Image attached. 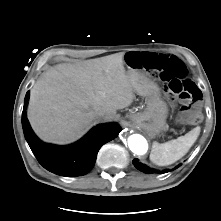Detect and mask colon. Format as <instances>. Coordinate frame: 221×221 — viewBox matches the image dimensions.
<instances>
[{
	"label": "colon",
	"instance_id": "obj_1",
	"mask_svg": "<svg viewBox=\"0 0 221 221\" xmlns=\"http://www.w3.org/2000/svg\"><path fill=\"white\" fill-rule=\"evenodd\" d=\"M129 64L136 69H147L152 77L163 82L164 88L175 95L181 104V111L191 123L201 120L200 110L196 103L200 93L188 77L185 64L176 56L146 52L142 57L136 53L128 56Z\"/></svg>",
	"mask_w": 221,
	"mask_h": 221
}]
</instances>
